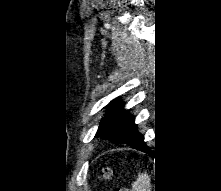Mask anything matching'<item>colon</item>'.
<instances>
[{
  "label": "colon",
  "instance_id": "colon-1",
  "mask_svg": "<svg viewBox=\"0 0 221 191\" xmlns=\"http://www.w3.org/2000/svg\"><path fill=\"white\" fill-rule=\"evenodd\" d=\"M113 174L112 171L109 168H105L101 171V178L103 180H110L112 178ZM114 191H127L125 189H115Z\"/></svg>",
  "mask_w": 221,
  "mask_h": 191
}]
</instances>
